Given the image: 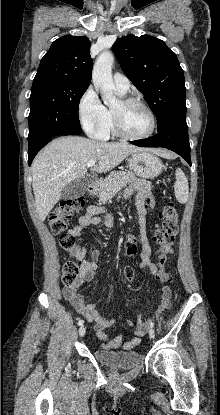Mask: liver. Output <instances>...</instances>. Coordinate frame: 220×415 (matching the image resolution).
Returning a JSON list of instances; mask_svg holds the SVG:
<instances>
[{
  "mask_svg": "<svg viewBox=\"0 0 220 415\" xmlns=\"http://www.w3.org/2000/svg\"><path fill=\"white\" fill-rule=\"evenodd\" d=\"M144 149L120 142H102L68 136L53 140L32 163V187L40 221H44L61 198L66 185L85 177L87 164L98 160L94 172L105 173L118 166L130 154ZM167 157L166 151H155Z\"/></svg>",
  "mask_w": 220,
  "mask_h": 415,
  "instance_id": "liver-1",
  "label": "liver"
}]
</instances>
